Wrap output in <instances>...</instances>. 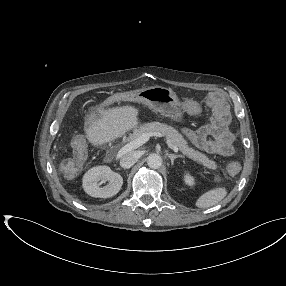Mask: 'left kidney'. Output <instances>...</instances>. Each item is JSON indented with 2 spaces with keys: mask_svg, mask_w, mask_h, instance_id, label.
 I'll return each mask as SVG.
<instances>
[{
  "mask_svg": "<svg viewBox=\"0 0 286 286\" xmlns=\"http://www.w3.org/2000/svg\"><path fill=\"white\" fill-rule=\"evenodd\" d=\"M184 182L190 187L195 184V180L190 174L184 175Z\"/></svg>",
  "mask_w": 286,
  "mask_h": 286,
  "instance_id": "obj_1",
  "label": "left kidney"
}]
</instances>
